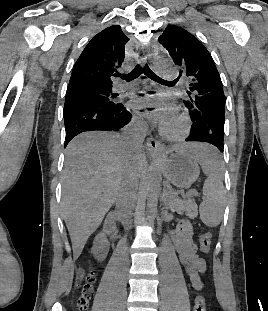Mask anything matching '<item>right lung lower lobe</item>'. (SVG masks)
<instances>
[{
  "mask_svg": "<svg viewBox=\"0 0 268 311\" xmlns=\"http://www.w3.org/2000/svg\"><path fill=\"white\" fill-rule=\"evenodd\" d=\"M65 146L86 131H116L128 124L132 115L121 103L105 109L90 105H72L64 114Z\"/></svg>",
  "mask_w": 268,
  "mask_h": 311,
  "instance_id": "obj_1",
  "label": "right lung lower lobe"
}]
</instances>
